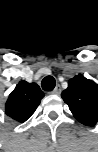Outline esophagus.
Here are the masks:
<instances>
[{
  "mask_svg": "<svg viewBox=\"0 0 98 152\" xmlns=\"http://www.w3.org/2000/svg\"><path fill=\"white\" fill-rule=\"evenodd\" d=\"M53 94H60L61 93V86L60 85H56V87L54 88V90L52 91Z\"/></svg>",
  "mask_w": 98,
  "mask_h": 152,
  "instance_id": "34e87169",
  "label": "esophagus"
}]
</instances>
